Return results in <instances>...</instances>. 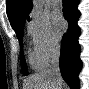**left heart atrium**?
<instances>
[{
    "label": "left heart atrium",
    "instance_id": "obj_1",
    "mask_svg": "<svg viewBox=\"0 0 89 89\" xmlns=\"http://www.w3.org/2000/svg\"><path fill=\"white\" fill-rule=\"evenodd\" d=\"M52 22L58 35H60L66 29V21L60 11L55 10L52 13Z\"/></svg>",
    "mask_w": 89,
    "mask_h": 89
}]
</instances>
